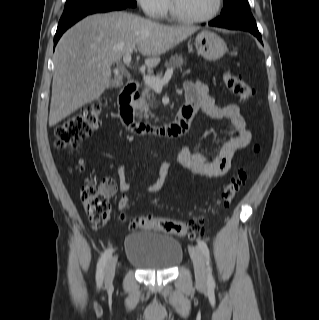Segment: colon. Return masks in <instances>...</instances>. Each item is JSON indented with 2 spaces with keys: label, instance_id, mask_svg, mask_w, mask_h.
<instances>
[{
  "label": "colon",
  "instance_id": "5ec220e1",
  "mask_svg": "<svg viewBox=\"0 0 319 320\" xmlns=\"http://www.w3.org/2000/svg\"><path fill=\"white\" fill-rule=\"evenodd\" d=\"M226 87L241 100H249L254 89L241 77L226 73L224 75ZM107 100L100 98L95 102L84 105L76 114L55 131V143L58 148L65 149L91 136L101 126V113ZM247 174L240 171L231 179L219 193L217 200L224 207L230 205L238 191L246 184ZM115 183L111 179H104L99 186L86 185L81 190V200L84 209L95 225H104L110 218V204L108 197L114 192ZM124 218V215H121ZM130 226L156 232H165L175 236L193 237L203 231L200 220L181 221L163 216L143 215L134 217Z\"/></svg>",
  "mask_w": 319,
  "mask_h": 320
}]
</instances>
